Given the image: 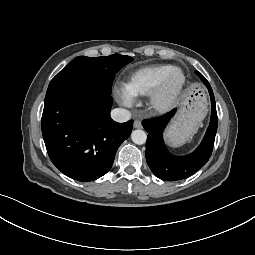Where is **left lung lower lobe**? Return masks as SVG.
I'll return each instance as SVG.
<instances>
[{
    "label": "left lung lower lobe",
    "instance_id": "obj_1",
    "mask_svg": "<svg viewBox=\"0 0 255 255\" xmlns=\"http://www.w3.org/2000/svg\"><path fill=\"white\" fill-rule=\"evenodd\" d=\"M209 90L211 98V119L203 141L187 156L177 157L168 152L162 133L174 115L175 110L154 119L144 120L143 127L149 133L146 142V160L149 168L158 178L176 181L187 178L202 168L209 160L217 131V112L212 88L205 78H201Z\"/></svg>",
    "mask_w": 255,
    "mask_h": 255
}]
</instances>
